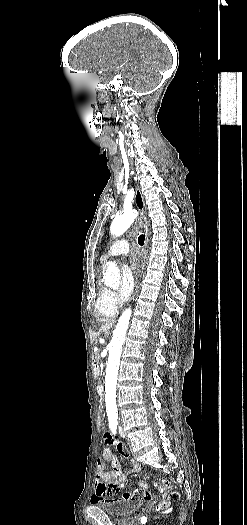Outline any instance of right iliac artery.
Returning a JSON list of instances; mask_svg holds the SVG:
<instances>
[{
    "mask_svg": "<svg viewBox=\"0 0 247 525\" xmlns=\"http://www.w3.org/2000/svg\"><path fill=\"white\" fill-rule=\"evenodd\" d=\"M109 427H110V429H111L112 433H113V434H115V433H116V428H117V425H116V424H114V423H112V424H110V425H109Z\"/></svg>",
    "mask_w": 247,
    "mask_h": 525,
    "instance_id": "82829eb1",
    "label": "right iliac artery"
}]
</instances>
